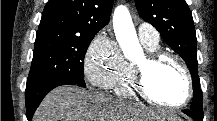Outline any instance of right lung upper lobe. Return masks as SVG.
I'll return each mask as SVG.
<instances>
[{"label":"right lung upper lobe","mask_w":217,"mask_h":121,"mask_svg":"<svg viewBox=\"0 0 217 121\" xmlns=\"http://www.w3.org/2000/svg\"><path fill=\"white\" fill-rule=\"evenodd\" d=\"M113 0H49L39 25L75 34H97L108 24Z\"/></svg>","instance_id":"cb5924a9"}]
</instances>
